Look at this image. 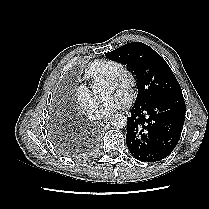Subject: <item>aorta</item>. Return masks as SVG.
Listing matches in <instances>:
<instances>
[{"label": "aorta", "mask_w": 209, "mask_h": 209, "mask_svg": "<svg viewBox=\"0 0 209 209\" xmlns=\"http://www.w3.org/2000/svg\"><path fill=\"white\" fill-rule=\"evenodd\" d=\"M92 90L96 98L105 99L108 96L107 89L103 86V84H95ZM111 124L113 126L123 128L127 125V117L122 113L116 114L112 117Z\"/></svg>", "instance_id": "aorta-1"}]
</instances>
